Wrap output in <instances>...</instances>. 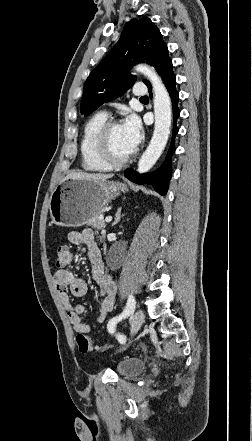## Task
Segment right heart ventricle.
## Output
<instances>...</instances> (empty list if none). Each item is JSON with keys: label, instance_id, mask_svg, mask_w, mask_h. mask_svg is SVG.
Listing matches in <instances>:
<instances>
[{"label": "right heart ventricle", "instance_id": "obj_1", "mask_svg": "<svg viewBox=\"0 0 252 441\" xmlns=\"http://www.w3.org/2000/svg\"><path fill=\"white\" fill-rule=\"evenodd\" d=\"M106 121V114L96 113L84 124L80 140V155L81 166L87 172H106L111 169L94 152V137Z\"/></svg>", "mask_w": 252, "mask_h": 441}]
</instances>
